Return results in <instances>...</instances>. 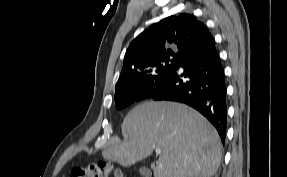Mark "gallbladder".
<instances>
[{"label":"gallbladder","instance_id":"obj_1","mask_svg":"<svg viewBox=\"0 0 287 177\" xmlns=\"http://www.w3.org/2000/svg\"><path fill=\"white\" fill-rule=\"evenodd\" d=\"M139 172H140L141 174H149V173H150V171H149L146 167H141V168L139 169Z\"/></svg>","mask_w":287,"mask_h":177}]
</instances>
